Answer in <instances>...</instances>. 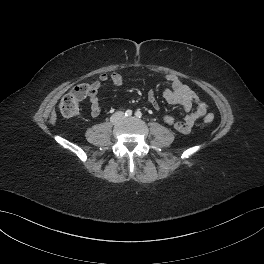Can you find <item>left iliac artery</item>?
I'll return each mask as SVG.
<instances>
[{"instance_id": "obj_1", "label": "left iliac artery", "mask_w": 264, "mask_h": 264, "mask_svg": "<svg viewBox=\"0 0 264 264\" xmlns=\"http://www.w3.org/2000/svg\"><path fill=\"white\" fill-rule=\"evenodd\" d=\"M135 115H136V117L140 118V117L142 116V113H141L140 111H137V112L135 113Z\"/></svg>"}]
</instances>
